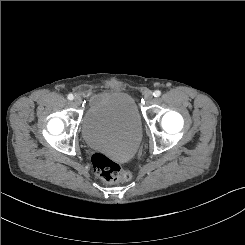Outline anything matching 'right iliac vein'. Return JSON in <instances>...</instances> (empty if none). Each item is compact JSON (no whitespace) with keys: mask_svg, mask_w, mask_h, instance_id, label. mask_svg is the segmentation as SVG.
<instances>
[{"mask_svg":"<svg viewBox=\"0 0 245 245\" xmlns=\"http://www.w3.org/2000/svg\"><path fill=\"white\" fill-rule=\"evenodd\" d=\"M80 101H81V99L79 97H75L74 100H73L75 105H79Z\"/></svg>","mask_w":245,"mask_h":245,"instance_id":"obj_1","label":"right iliac vein"}]
</instances>
